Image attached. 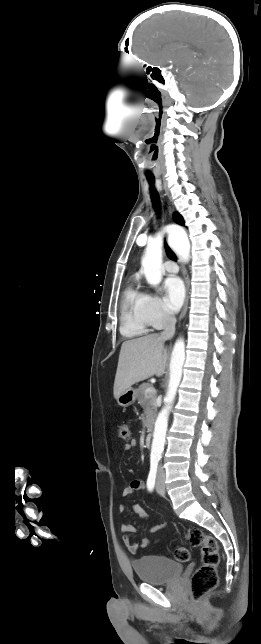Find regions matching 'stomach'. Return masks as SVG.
Here are the masks:
<instances>
[{
	"label": "stomach",
	"mask_w": 261,
	"mask_h": 644,
	"mask_svg": "<svg viewBox=\"0 0 261 644\" xmlns=\"http://www.w3.org/2000/svg\"><path fill=\"white\" fill-rule=\"evenodd\" d=\"M136 398L137 390L130 387L117 398V402L120 406L127 407L132 405L135 402Z\"/></svg>",
	"instance_id": "1"
}]
</instances>
